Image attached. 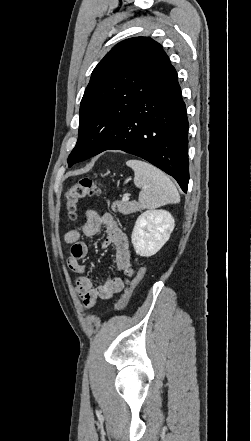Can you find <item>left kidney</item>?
Wrapping results in <instances>:
<instances>
[{
	"label": "left kidney",
	"instance_id": "obj_1",
	"mask_svg": "<svg viewBox=\"0 0 251 441\" xmlns=\"http://www.w3.org/2000/svg\"><path fill=\"white\" fill-rule=\"evenodd\" d=\"M175 220L166 210H146L136 220L131 240L136 254L150 257L169 240Z\"/></svg>",
	"mask_w": 251,
	"mask_h": 441
}]
</instances>
